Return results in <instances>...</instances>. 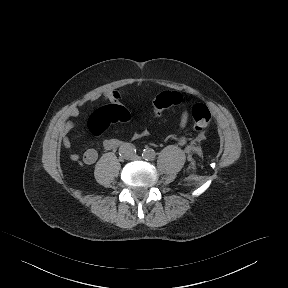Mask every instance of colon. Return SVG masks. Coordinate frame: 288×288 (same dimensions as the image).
<instances>
[{
    "label": "colon",
    "instance_id": "5ec220e1",
    "mask_svg": "<svg viewBox=\"0 0 288 288\" xmlns=\"http://www.w3.org/2000/svg\"><path fill=\"white\" fill-rule=\"evenodd\" d=\"M181 101V98L173 93H165L160 96L155 104V116L161 115L162 109H168ZM127 111L117 105H107L97 108L91 115L88 125L94 136L104 133L112 124L124 122L128 119ZM193 130L202 133L211 121V115L207 107L198 106L193 111Z\"/></svg>",
    "mask_w": 288,
    "mask_h": 288
}]
</instances>
